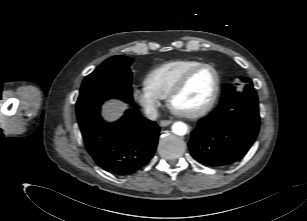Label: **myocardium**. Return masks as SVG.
<instances>
[{"label":"myocardium","instance_id":"1","mask_svg":"<svg viewBox=\"0 0 307 221\" xmlns=\"http://www.w3.org/2000/svg\"><path fill=\"white\" fill-rule=\"evenodd\" d=\"M204 68H209L211 69L214 74H215V88H214V92L210 98V100L200 109L193 111V112H189V113H184V112H180L177 111L174 107H173V102L175 100V98L182 93V91L186 88V86L188 85L189 81L191 80V78L200 70L204 69ZM220 89H221V77L220 74L218 72V70L211 64L208 63H202L194 68H192L191 70H189L188 72H186L181 78L180 80L176 83V85L172 88V90L169 92L168 96H167V104L169 109L176 115L184 117V118H188V119H196L199 118L205 114H207L215 105L219 94H220Z\"/></svg>","mask_w":307,"mask_h":221}]
</instances>
